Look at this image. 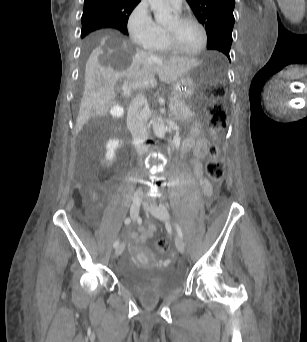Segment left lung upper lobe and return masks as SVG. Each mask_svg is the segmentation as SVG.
<instances>
[{
    "label": "left lung upper lobe",
    "mask_w": 307,
    "mask_h": 342,
    "mask_svg": "<svg viewBox=\"0 0 307 342\" xmlns=\"http://www.w3.org/2000/svg\"><path fill=\"white\" fill-rule=\"evenodd\" d=\"M198 21L204 25L207 48L223 52L230 60L235 0H187Z\"/></svg>",
    "instance_id": "obj_1"
}]
</instances>
